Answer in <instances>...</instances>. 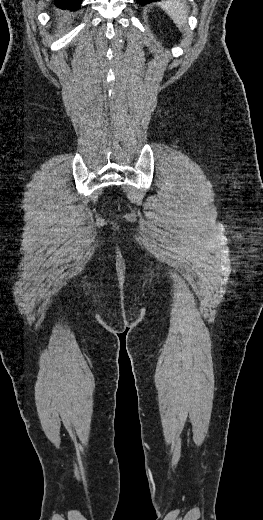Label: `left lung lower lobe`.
<instances>
[{
    "label": "left lung lower lobe",
    "instance_id": "obj_1",
    "mask_svg": "<svg viewBox=\"0 0 263 520\" xmlns=\"http://www.w3.org/2000/svg\"><path fill=\"white\" fill-rule=\"evenodd\" d=\"M159 1V0H137V2H140L141 5H145L150 2Z\"/></svg>",
    "mask_w": 263,
    "mask_h": 520
}]
</instances>
